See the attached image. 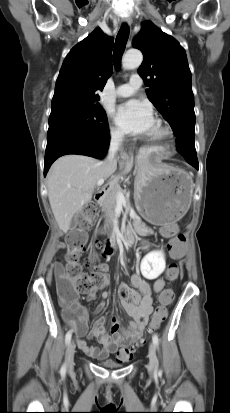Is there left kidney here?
<instances>
[{"label":"left kidney","mask_w":230,"mask_h":413,"mask_svg":"<svg viewBox=\"0 0 230 413\" xmlns=\"http://www.w3.org/2000/svg\"><path fill=\"white\" fill-rule=\"evenodd\" d=\"M165 267L166 262L162 251H151L142 259L140 264L141 273L148 280L158 278Z\"/></svg>","instance_id":"obj_1"}]
</instances>
